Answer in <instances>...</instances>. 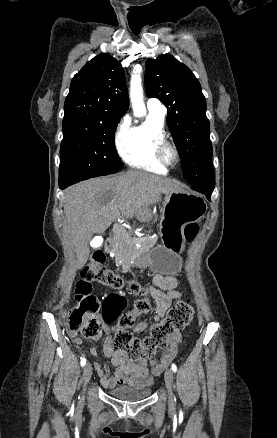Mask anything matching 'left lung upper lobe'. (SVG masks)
Listing matches in <instances>:
<instances>
[{
	"instance_id": "left-lung-upper-lobe-1",
	"label": "left lung upper lobe",
	"mask_w": 277,
	"mask_h": 438,
	"mask_svg": "<svg viewBox=\"0 0 277 438\" xmlns=\"http://www.w3.org/2000/svg\"><path fill=\"white\" fill-rule=\"evenodd\" d=\"M145 89L168 109L167 122L191 188L214 190L206 100L198 79L170 54L146 61Z\"/></svg>"
}]
</instances>
